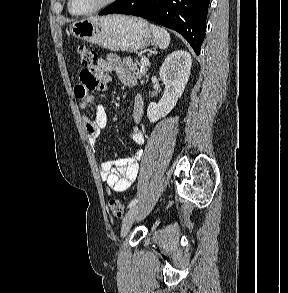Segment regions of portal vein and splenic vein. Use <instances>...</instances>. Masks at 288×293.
Returning <instances> with one entry per match:
<instances>
[{
	"instance_id": "1",
	"label": "portal vein and splenic vein",
	"mask_w": 288,
	"mask_h": 293,
	"mask_svg": "<svg viewBox=\"0 0 288 293\" xmlns=\"http://www.w3.org/2000/svg\"><path fill=\"white\" fill-rule=\"evenodd\" d=\"M141 65L142 66H148L149 65V59L146 57L141 58Z\"/></svg>"
}]
</instances>
